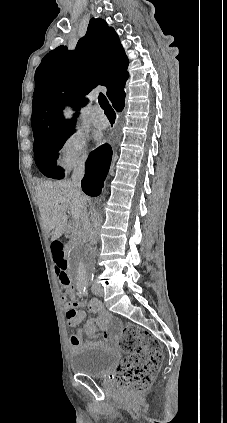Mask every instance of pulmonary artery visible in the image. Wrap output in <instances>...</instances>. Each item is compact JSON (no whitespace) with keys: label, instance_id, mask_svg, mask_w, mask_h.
<instances>
[{"label":"pulmonary artery","instance_id":"e3ab8cb5","mask_svg":"<svg viewBox=\"0 0 227 423\" xmlns=\"http://www.w3.org/2000/svg\"><path fill=\"white\" fill-rule=\"evenodd\" d=\"M92 124L98 129H106L109 125L108 119L100 107H93L89 113Z\"/></svg>","mask_w":227,"mask_h":423}]
</instances>
